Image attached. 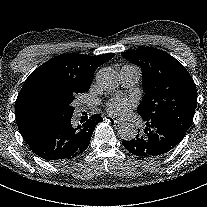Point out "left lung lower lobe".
Instances as JSON below:
<instances>
[{
	"label": "left lung lower lobe",
	"mask_w": 207,
	"mask_h": 207,
	"mask_svg": "<svg viewBox=\"0 0 207 207\" xmlns=\"http://www.w3.org/2000/svg\"><path fill=\"white\" fill-rule=\"evenodd\" d=\"M143 134L122 142L131 153L145 158L162 156L171 151L185 136L168 122L145 121Z\"/></svg>",
	"instance_id": "obj_1"
}]
</instances>
